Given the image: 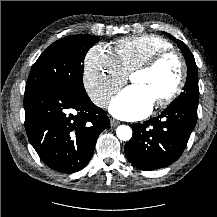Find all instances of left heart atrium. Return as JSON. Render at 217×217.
<instances>
[{
	"instance_id": "39dd6f15",
	"label": "left heart atrium",
	"mask_w": 217,
	"mask_h": 217,
	"mask_svg": "<svg viewBox=\"0 0 217 217\" xmlns=\"http://www.w3.org/2000/svg\"><path fill=\"white\" fill-rule=\"evenodd\" d=\"M153 104V100L141 87L131 85L112 99L109 110L118 118L137 120L148 115Z\"/></svg>"
}]
</instances>
